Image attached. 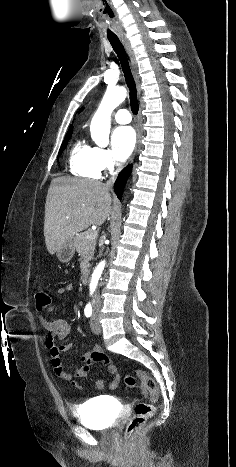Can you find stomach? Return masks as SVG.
<instances>
[{"label":"stomach","instance_id":"obj_1","mask_svg":"<svg viewBox=\"0 0 236 467\" xmlns=\"http://www.w3.org/2000/svg\"><path fill=\"white\" fill-rule=\"evenodd\" d=\"M75 253V247L72 240H69L62 244L56 251L57 258L60 262H69Z\"/></svg>","mask_w":236,"mask_h":467}]
</instances>
